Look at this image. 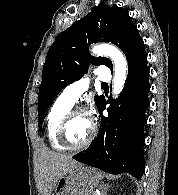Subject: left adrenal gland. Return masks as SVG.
Listing matches in <instances>:
<instances>
[{
	"label": "left adrenal gland",
	"mask_w": 178,
	"mask_h": 195,
	"mask_svg": "<svg viewBox=\"0 0 178 195\" xmlns=\"http://www.w3.org/2000/svg\"><path fill=\"white\" fill-rule=\"evenodd\" d=\"M107 188L108 187L106 185L101 186V195H106Z\"/></svg>",
	"instance_id": "a2214340"
}]
</instances>
